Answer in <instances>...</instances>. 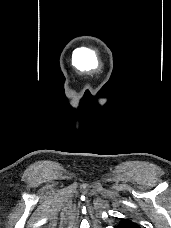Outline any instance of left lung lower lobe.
Here are the masks:
<instances>
[{
  "label": "left lung lower lobe",
  "instance_id": "obj_1",
  "mask_svg": "<svg viewBox=\"0 0 171 228\" xmlns=\"http://www.w3.org/2000/svg\"><path fill=\"white\" fill-rule=\"evenodd\" d=\"M116 228H140L139 224L131 219H122Z\"/></svg>",
  "mask_w": 171,
  "mask_h": 228
}]
</instances>
